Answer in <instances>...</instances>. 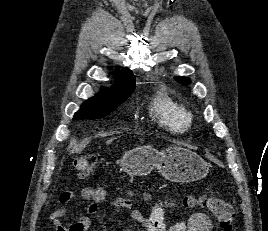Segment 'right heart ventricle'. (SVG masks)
Segmentation results:
<instances>
[{
	"instance_id": "right-heart-ventricle-1",
	"label": "right heart ventricle",
	"mask_w": 268,
	"mask_h": 231,
	"mask_svg": "<svg viewBox=\"0 0 268 231\" xmlns=\"http://www.w3.org/2000/svg\"><path fill=\"white\" fill-rule=\"evenodd\" d=\"M149 115L156 124L172 133H182L192 123V113L165 93H158L149 106Z\"/></svg>"
}]
</instances>
